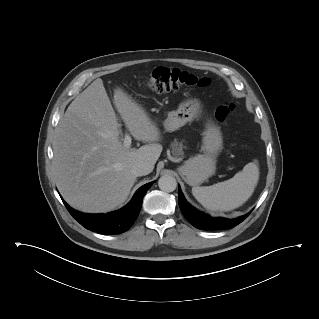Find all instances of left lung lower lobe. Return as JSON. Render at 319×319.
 Segmentation results:
<instances>
[{"mask_svg":"<svg viewBox=\"0 0 319 319\" xmlns=\"http://www.w3.org/2000/svg\"><path fill=\"white\" fill-rule=\"evenodd\" d=\"M179 206L184 217L196 228L201 230H222L232 228L248 217V214L235 219H227L222 217L213 218L206 215L189 205L179 187Z\"/></svg>","mask_w":319,"mask_h":319,"instance_id":"0a47b994","label":"left lung lower lobe"}]
</instances>
